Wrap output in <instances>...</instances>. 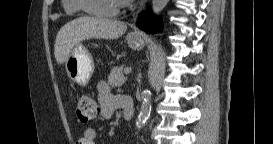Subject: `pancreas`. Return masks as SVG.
<instances>
[{
    "label": "pancreas",
    "instance_id": "obj_1",
    "mask_svg": "<svg viewBox=\"0 0 273 144\" xmlns=\"http://www.w3.org/2000/svg\"><path fill=\"white\" fill-rule=\"evenodd\" d=\"M124 70V66L113 68L108 76L109 85L112 87L122 86L127 80V78L124 76Z\"/></svg>",
    "mask_w": 273,
    "mask_h": 144
}]
</instances>
